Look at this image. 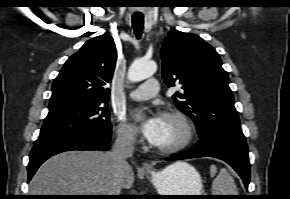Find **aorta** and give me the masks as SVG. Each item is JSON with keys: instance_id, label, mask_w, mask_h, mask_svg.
<instances>
[{"instance_id": "762f6f07", "label": "aorta", "mask_w": 290, "mask_h": 199, "mask_svg": "<svg viewBox=\"0 0 290 199\" xmlns=\"http://www.w3.org/2000/svg\"><path fill=\"white\" fill-rule=\"evenodd\" d=\"M156 71L157 64L154 61L138 59L130 66L128 79L132 82H139L151 77Z\"/></svg>"}]
</instances>
